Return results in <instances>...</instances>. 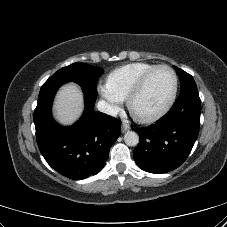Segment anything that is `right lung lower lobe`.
Returning a JSON list of instances; mask_svg holds the SVG:
<instances>
[{
  "instance_id": "obj_1",
  "label": "right lung lower lobe",
  "mask_w": 227,
  "mask_h": 227,
  "mask_svg": "<svg viewBox=\"0 0 227 227\" xmlns=\"http://www.w3.org/2000/svg\"><path fill=\"white\" fill-rule=\"evenodd\" d=\"M63 83L43 84L34 111L37 144L47 163L74 180L99 173L110 147L120 135V123L102 112H94L96 95L83 89L85 111L71 127L57 124L51 112L56 91Z\"/></svg>"
}]
</instances>
